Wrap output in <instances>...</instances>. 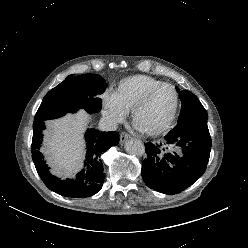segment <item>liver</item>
<instances>
[{
	"mask_svg": "<svg viewBox=\"0 0 248 248\" xmlns=\"http://www.w3.org/2000/svg\"><path fill=\"white\" fill-rule=\"evenodd\" d=\"M89 115L80 110L74 115L48 121L50 130L46 133L43 148L52 171L58 175L71 176L82 168L84 141L82 133Z\"/></svg>",
	"mask_w": 248,
	"mask_h": 248,
	"instance_id": "obj_1",
	"label": "liver"
}]
</instances>
